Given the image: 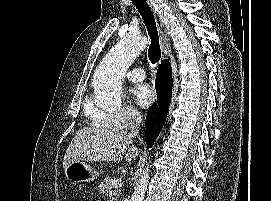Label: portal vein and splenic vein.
Instances as JSON below:
<instances>
[{
    "label": "portal vein and splenic vein",
    "instance_id": "1",
    "mask_svg": "<svg viewBox=\"0 0 271 201\" xmlns=\"http://www.w3.org/2000/svg\"><path fill=\"white\" fill-rule=\"evenodd\" d=\"M121 185H122V180L116 179V180L112 181L111 188H118Z\"/></svg>",
    "mask_w": 271,
    "mask_h": 201
}]
</instances>
